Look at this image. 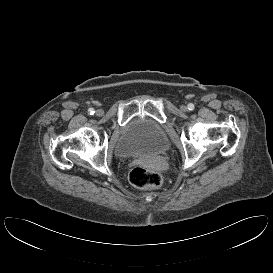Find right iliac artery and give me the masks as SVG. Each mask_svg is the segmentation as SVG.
Masks as SVG:
<instances>
[{
	"label": "right iliac artery",
	"mask_w": 273,
	"mask_h": 273,
	"mask_svg": "<svg viewBox=\"0 0 273 273\" xmlns=\"http://www.w3.org/2000/svg\"><path fill=\"white\" fill-rule=\"evenodd\" d=\"M88 112L90 113V115H93L95 113L93 108H89Z\"/></svg>",
	"instance_id": "obj_1"
}]
</instances>
